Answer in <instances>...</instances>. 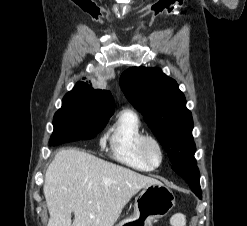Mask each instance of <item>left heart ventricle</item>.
<instances>
[{
  "instance_id": "obj_1",
  "label": "left heart ventricle",
  "mask_w": 247,
  "mask_h": 226,
  "mask_svg": "<svg viewBox=\"0 0 247 226\" xmlns=\"http://www.w3.org/2000/svg\"><path fill=\"white\" fill-rule=\"evenodd\" d=\"M147 150H148V154H149L151 160L153 162L157 163L158 160H159V153H158L156 147L153 144L150 143V144H148V149Z\"/></svg>"
}]
</instances>
